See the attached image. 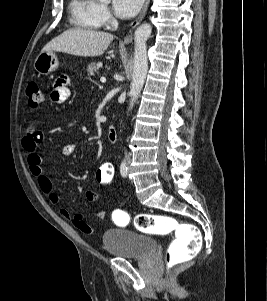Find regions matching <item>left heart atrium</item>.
Returning <instances> with one entry per match:
<instances>
[{
	"mask_svg": "<svg viewBox=\"0 0 267 301\" xmlns=\"http://www.w3.org/2000/svg\"><path fill=\"white\" fill-rule=\"evenodd\" d=\"M144 0H112L115 14L120 18H131L135 16Z\"/></svg>",
	"mask_w": 267,
	"mask_h": 301,
	"instance_id": "left-heart-atrium-1",
	"label": "left heart atrium"
}]
</instances>
